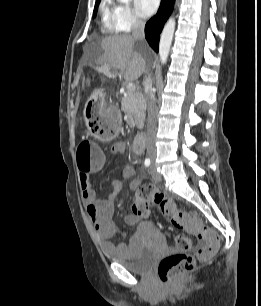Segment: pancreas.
<instances>
[{
  "mask_svg": "<svg viewBox=\"0 0 261 306\" xmlns=\"http://www.w3.org/2000/svg\"><path fill=\"white\" fill-rule=\"evenodd\" d=\"M121 110L134 119V125L141 127L145 120L146 102L140 90H127L121 99Z\"/></svg>",
  "mask_w": 261,
  "mask_h": 306,
  "instance_id": "obj_1",
  "label": "pancreas"
}]
</instances>
